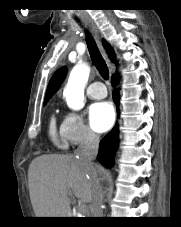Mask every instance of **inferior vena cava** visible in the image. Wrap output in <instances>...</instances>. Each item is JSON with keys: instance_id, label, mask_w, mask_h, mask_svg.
<instances>
[{"instance_id": "obj_1", "label": "inferior vena cava", "mask_w": 181, "mask_h": 227, "mask_svg": "<svg viewBox=\"0 0 181 227\" xmlns=\"http://www.w3.org/2000/svg\"><path fill=\"white\" fill-rule=\"evenodd\" d=\"M99 148V136L91 130H87L84 141L79 145L75 154L89 168L94 169L93 160L96 158ZM104 191L97 176L93 172V217H103Z\"/></svg>"}]
</instances>
